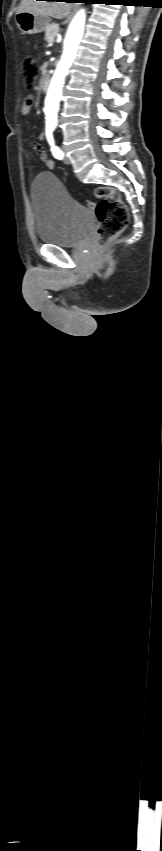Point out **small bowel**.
<instances>
[{
    "label": "small bowel",
    "instance_id": "small-bowel-1",
    "mask_svg": "<svg viewBox=\"0 0 162 851\" xmlns=\"http://www.w3.org/2000/svg\"><path fill=\"white\" fill-rule=\"evenodd\" d=\"M33 104H34L33 98L31 96L26 97L24 99L22 105H21V114L23 116H27L30 113V111L33 107ZM43 138H44V134L42 133V134H40L39 139L42 140ZM32 148L36 152V154L42 160L45 161V164L48 168L54 167V165H55L54 161L51 160V159H47L46 151L40 143H37V142L33 143Z\"/></svg>",
    "mask_w": 162,
    "mask_h": 851
}]
</instances>
